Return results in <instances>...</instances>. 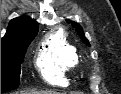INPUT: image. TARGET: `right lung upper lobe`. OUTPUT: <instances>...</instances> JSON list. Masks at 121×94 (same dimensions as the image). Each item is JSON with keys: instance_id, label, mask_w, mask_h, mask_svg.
<instances>
[{"instance_id": "cb5924a9", "label": "right lung upper lobe", "mask_w": 121, "mask_h": 94, "mask_svg": "<svg viewBox=\"0 0 121 94\" xmlns=\"http://www.w3.org/2000/svg\"><path fill=\"white\" fill-rule=\"evenodd\" d=\"M35 32H38V23L35 20L26 16L14 18L10 21L1 44L11 43Z\"/></svg>"}]
</instances>
